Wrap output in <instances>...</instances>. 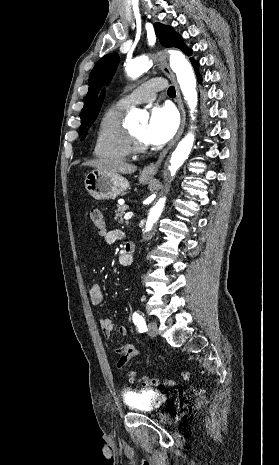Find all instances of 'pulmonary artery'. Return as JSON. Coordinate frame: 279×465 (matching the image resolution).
I'll return each mask as SVG.
<instances>
[{"label": "pulmonary artery", "mask_w": 279, "mask_h": 465, "mask_svg": "<svg viewBox=\"0 0 279 465\" xmlns=\"http://www.w3.org/2000/svg\"><path fill=\"white\" fill-rule=\"evenodd\" d=\"M163 87V81L159 78L148 80L131 93L123 96L118 103L124 107H130L141 103H150L154 101L156 93L163 89Z\"/></svg>", "instance_id": "1"}]
</instances>
